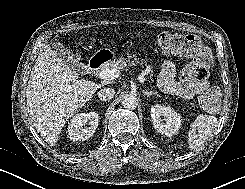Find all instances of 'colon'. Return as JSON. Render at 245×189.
I'll return each instance as SVG.
<instances>
[{"mask_svg": "<svg viewBox=\"0 0 245 189\" xmlns=\"http://www.w3.org/2000/svg\"><path fill=\"white\" fill-rule=\"evenodd\" d=\"M158 44L173 54L192 58L180 73V78L186 85H193L207 78L209 69L213 65L212 52L196 36L165 31L159 35ZM220 99L221 92L214 87L202 93L198 102L205 109H215Z\"/></svg>", "mask_w": 245, "mask_h": 189, "instance_id": "5ec220e1", "label": "colon"}]
</instances>
